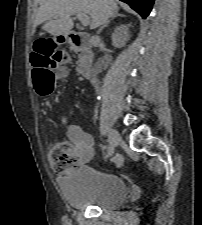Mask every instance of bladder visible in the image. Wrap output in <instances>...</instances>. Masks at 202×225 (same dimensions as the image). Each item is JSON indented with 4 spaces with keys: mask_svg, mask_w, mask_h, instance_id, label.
<instances>
[{
    "mask_svg": "<svg viewBox=\"0 0 202 225\" xmlns=\"http://www.w3.org/2000/svg\"><path fill=\"white\" fill-rule=\"evenodd\" d=\"M63 197L72 208L116 210L128 199L127 184L120 176L100 168L82 166L62 182Z\"/></svg>",
    "mask_w": 202,
    "mask_h": 225,
    "instance_id": "31cf9c89",
    "label": "bladder"
}]
</instances>
